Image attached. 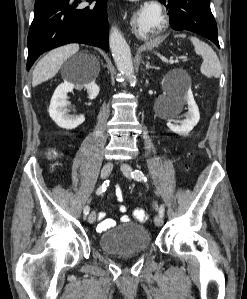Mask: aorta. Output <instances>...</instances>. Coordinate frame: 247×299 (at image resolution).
<instances>
[{"label":"aorta","instance_id":"obj_1","mask_svg":"<svg viewBox=\"0 0 247 299\" xmlns=\"http://www.w3.org/2000/svg\"><path fill=\"white\" fill-rule=\"evenodd\" d=\"M109 45L117 69L129 79L132 85H135L136 77L130 47L116 27L111 28Z\"/></svg>","mask_w":247,"mask_h":299}]
</instances>
